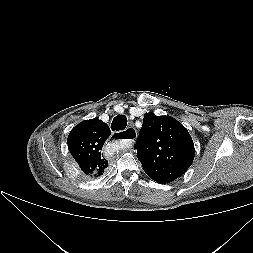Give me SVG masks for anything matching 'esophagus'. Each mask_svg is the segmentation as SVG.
Masks as SVG:
<instances>
[{"instance_id": "esophagus-1", "label": "esophagus", "mask_w": 253, "mask_h": 253, "mask_svg": "<svg viewBox=\"0 0 253 253\" xmlns=\"http://www.w3.org/2000/svg\"><path fill=\"white\" fill-rule=\"evenodd\" d=\"M137 137V132L134 128L128 127L124 131L116 132L112 134L113 140H119L125 146H131Z\"/></svg>"}]
</instances>
